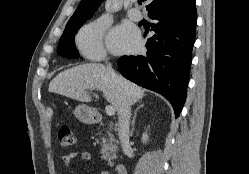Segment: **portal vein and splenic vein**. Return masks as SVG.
<instances>
[{
  "label": "portal vein and splenic vein",
  "instance_id": "obj_1",
  "mask_svg": "<svg viewBox=\"0 0 249 174\" xmlns=\"http://www.w3.org/2000/svg\"><path fill=\"white\" fill-rule=\"evenodd\" d=\"M105 111H106V114L109 116H112L115 114V108L112 105L106 106Z\"/></svg>",
  "mask_w": 249,
  "mask_h": 174
}]
</instances>
